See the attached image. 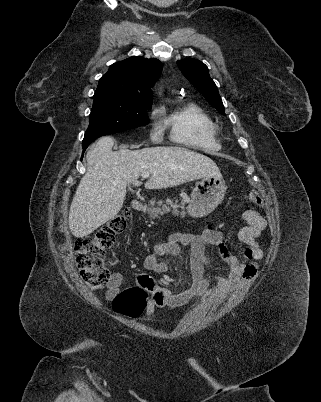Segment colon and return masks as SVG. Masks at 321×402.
<instances>
[{"instance_id": "colon-1", "label": "colon", "mask_w": 321, "mask_h": 402, "mask_svg": "<svg viewBox=\"0 0 321 402\" xmlns=\"http://www.w3.org/2000/svg\"><path fill=\"white\" fill-rule=\"evenodd\" d=\"M249 199L258 206H264L261 196L250 193ZM132 213L125 209L121 214L110 219L92 236L79 237L75 241V260L82 281L93 291L102 290L110 278V272L104 264L106 251L114 243L116 235L121 233ZM148 293L140 286H133L119 293L113 301L116 313L138 318L146 309Z\"/></svg>"}]
</instances>
